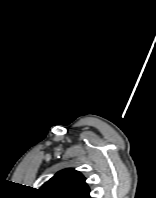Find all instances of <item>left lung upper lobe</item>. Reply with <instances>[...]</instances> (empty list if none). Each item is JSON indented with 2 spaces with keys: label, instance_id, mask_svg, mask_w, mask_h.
Instances as JSON below:
<instances>
[{
  "label": "left lung upper lobe",
  "instance_id": "1",
  "mask_svg": "<svg viewBox=\"0 0 156 198\" xmlns=\"http://www.w3.org/2000/svg\"><path fill=\"white\" fill-rule=\"evenodd\" d=\"M39 192L43 198H90V190L84 176L74 169L58 172Z\"/></svg>",
  "mask_w": 156,
  "mask_h": 198
}]
</instances>
